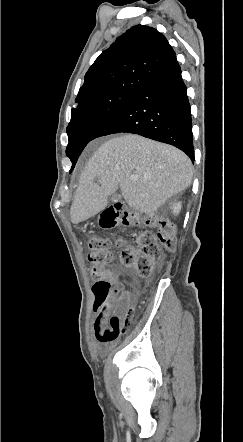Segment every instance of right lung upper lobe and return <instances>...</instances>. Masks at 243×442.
<instances>
[{"instance_id":"cb5924a9","label":"right lung upper lobe","mask_w":243,"mask_h":442,"mask_svg":"<svg viewBox=\"0 0 243 442\" xmlns=\"http://www.w3.org/2000/svg\"><path fill=\"white\" fill-rule=\"evenodd\" d=\"M176 59L164 35L136 25L99 55L85 75L75 101L78 105L118 90H135Z\"/></svg>"}]
</instances>
